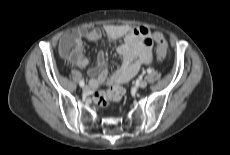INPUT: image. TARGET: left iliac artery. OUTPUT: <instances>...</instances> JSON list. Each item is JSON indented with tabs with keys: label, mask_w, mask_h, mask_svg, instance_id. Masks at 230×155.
Listing matches in <instances>:
<instances>
[{
	"label": "left iliac artery",
	"mask_w": 230,
	"mask_h": 155,
	"mask_svg": "<svg viewBox=\"0 0 230 155\" xmlns=\"http://www.w3.org/2000/svg\"><path fill=\"white\" fill-rule=\"evenodd\" d=\"M151 71H152L151 69H148V70H147L148 73H151Z\"/></svg>",
	"instance_id": "1"
}]
</instances>
